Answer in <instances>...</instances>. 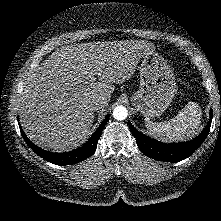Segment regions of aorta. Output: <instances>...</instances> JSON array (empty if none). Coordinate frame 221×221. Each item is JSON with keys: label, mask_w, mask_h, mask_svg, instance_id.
<instances>
[{"label": "aorta", "mask_w": 221, "mask_h": 221, "mask_svg": "<svg viewBox=\"0 0 221 221\" xmlns=\"http://www.w3.org/2000/svg\"><path fill=\"white\" fill-rule=\"evenodd\" d=\"M127 115H128V111L126 107L124 106H117L113 110V117L118 121L126 119Z\"/></svg>", "instance_id": "obj_1"}]
</instances>
